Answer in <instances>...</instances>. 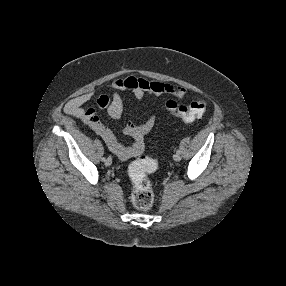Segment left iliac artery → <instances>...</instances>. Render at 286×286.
Listing matches in <instances>:
<instances>
[{
    "label": "left iliac artery",
    "mask_w": 286,
    "mask_h": 286,
    "mask_svg": "<svg viewBox=\"0 0 286 286\" xmlns=\"http://www.w3.org/2000/svg\"><path fill=\"white\" fill-rule=\"evenodd\" d=\"M176 152L180 154V150H179V149H177V151H176Z\"/></svg>",
    "instance_id": "1"
}]
</instances>
